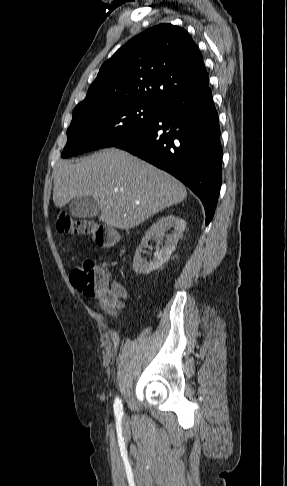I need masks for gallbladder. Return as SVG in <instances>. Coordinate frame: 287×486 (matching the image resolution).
I'll use <instances>...</instances> for the list:
<instances>
[{"instance_id": "bac80fb5", "label": "gallbladder", "mask_w": 287, "mask_h": 486, "mask_svg": "<svg viewBox=\"0 0 287 486\" xmlns=\"http://www.w3.org/2000/svg\"><path fill=\"white\" fill-rule=\"evenodd\" d=\"M71 216L75 218H94L99 215L98 203L91 197H76L69 203Z\"/></svg>"}]
</instances>
